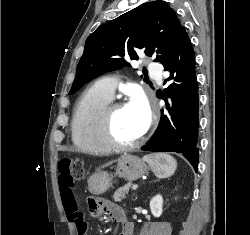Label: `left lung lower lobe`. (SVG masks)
Returning <instances> with one entry per match:
<instances>
[{
    "mask_svg": "<svg viewBox=\"0 0 250 235\" xmlns=\"http://www.w3.org/2000/svg\"><path fill=\"white\" fill-rule=\"evenodd\" d=\"M162 64L170 72V77L164 80V84L172 80L162 97L166 101L169 116H162L158 129L143 149L182 153L197 171L198 84L195 54L184 28L180 30L173 48ZM167 98L171 100V108Z\"/></svg>",
    "mask_w": 250,
    "mask_h": 235,
    "instance_id": "obj_1",
    "label": "left lung lower lobe"
}]
</instances>
